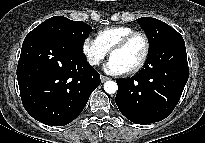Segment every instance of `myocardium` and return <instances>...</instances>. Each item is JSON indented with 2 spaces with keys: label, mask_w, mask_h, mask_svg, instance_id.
Instances as JSON below:
<instances>
[{
  "label": "myocardium",
  "mask_w": 205,
  "mask_h": 143,
  "mask_svg": "<svg viewBox=\"0 0 205 143\" xmlns=\"http://www.w3.org/2000/svg\"><path fill=\"white\" fill-rule=\"evenodd\" d=\"M136 37H141L144 40L145 49L140 61L135 66H133L132 68L126 71L129 74L138 72L147 63L151 51V43L148 35L143 31H134L128 34L127 36H125L124 38H122L110 50V56H112V54L115 53L116 51L124 49Z\"/></svg>",
  "instance_id": "myocardium-1"
}]
</instances>
